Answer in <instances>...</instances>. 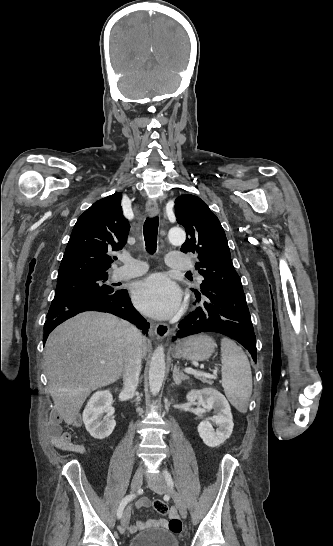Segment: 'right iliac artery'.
<instances>
[{
	"mask_svg": "<svg viewBox=\"0 0 333 546\" xmlns=\"http://www.w3.org/2000/svg\"><path fill=\"white\" fill-rule=\"evenodd\" d=\"M135 497H136L135 494H130V495L125 496V497L122 499V501H121V503H120V505H119V507H118V510H117V517H118L119 519L122 517L123 510H124L125 506L127 505V503L130 502V501H131L133 498H135Z\"/></svg>",
	"mask_w": 333,
	"mask_h": 546,
	"instance_id": "obj_1",
	"label": "right iliac artery"
}]
</instances>
